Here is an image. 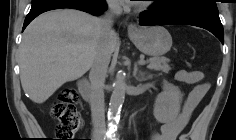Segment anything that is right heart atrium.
Listing matches in <instances>:
<instances>
[{
    "instance_id": "obj_1",
    "label": "right heart atrium",
    "mask_w": 236,
    "mask_h": 140,
    "mask_svg": "<svg viewBox=\"0 0 236 140\" xmlns=\"http://www.w3.org/2000/svg\"><path fill=\"white\" fill-rule=\"evenodd\" d=\"M109 5H110V7H112L113 9H118V8H119V5H118L116 2H114V1H110V2H109Z\"/></svg>"
}]
</instances>
